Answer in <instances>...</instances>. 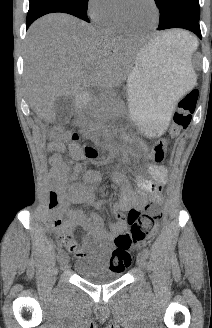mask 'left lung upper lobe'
Wrapping results in <instances>:
<instances>
[{
  "label": "left lung upper lobe",
  "mask_w": 212,
  "mask_h": 328,
  "mask_svg": "<svg viewBox=\"0 0 212 328\" xmlns=\"http://www.w3.org/2000/svg\"><path fill=\"white\" fill-rule=\"evenodd\" d=\"M160 11L159 25L166 23L175 13L185 12L199 20V0H155Z\"/></svg>",
  "instance_id": "left-lung-upper-lobe-1"
}]
</instances>
